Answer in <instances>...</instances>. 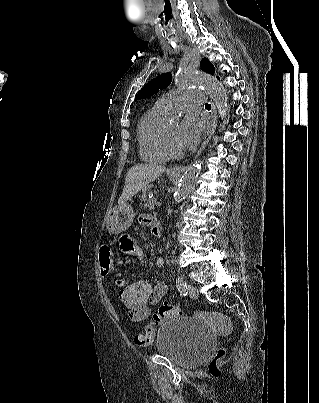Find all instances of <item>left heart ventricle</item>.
<instances>
[{
    "instance_id": "b2bd125f",
    "label": "left heart ventricle",
    "mask_w": 319,
    "mask_h": 403,
    "mask_svg": "<svg viewBox=\"0 0 319 403\" xmlns=\"http://www.w3.org/2000/svg\"><path fill=\"white\" fill-rule=\"evenodd\" d=\"M178 131H179V124L174 123H167L166 124V132L168 139L174 149L181 150V146L178 142Z\"/></svg>"
}]
</instances>
